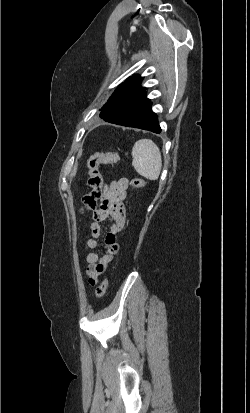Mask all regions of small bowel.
<instances>
[{
  "mask_svg": "<svg viewBox=\"0 0 250 413\" xmlns=\"http://www.w3.org/2000/svg\"><path fill=\"white\" fill-rule=\"evenodd\" d=\"M128 180L121 178L113 181L105 190L99 207L93 213V222L89 225L90 238L86 241L89 249L99 246L98 239L101 236L100 222L111 220V228L105 237V252L98 255L90 252L86 256V275L89 285L94 286L99 281V276L106 271L114 257L120 250L116 242L117 236L122 232L125 225L126 210L124 200L127 196Z\"/></svg>",
  "mask_w": 250,
  "mask_h": 413,
  "instance_id": "1",
  "label": "small bowel"
}]
</instances>
